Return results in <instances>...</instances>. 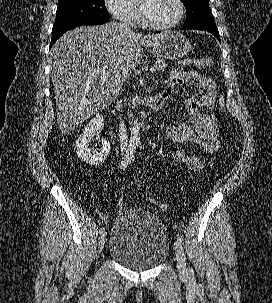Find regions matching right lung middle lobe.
Instances as JSON below:
<instances>
[{"instance_id": "dd1d6c3e", "label": "right lung middle lobe", "mask_w": 272, "mask_h": 303, "mask_svg": "<svg viewBox=\"0 0 272 303\" xmlns=\"http://www.w3.org/2000/svg\"><path fill=\"white\" fill-rule=\"evenodd\" d=\"M81 20H109L104 0H58L53 29Z\"/></svg>"}]
</instances>
